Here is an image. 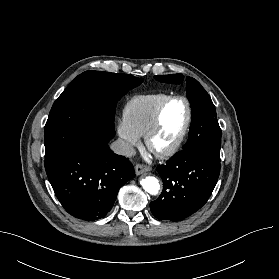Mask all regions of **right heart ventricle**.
<instances>
[{
  "mask_svg": "<svg viewBox=\"0 0 279 279\" xmlns=\"http://www.w3.org/2000/svg\"><path fill=\"white\" fill-rule=\"evenodd\" d=\"M169 94L151 93L132 97L124 109V118L140 136L145 135L150 127L157 109Z\"/></svg>",
  "mask_w": 279,
  "mask_h": 279,
  "instance_id": "obj_1",
  "label": "right heart ventricle"
}]
</instances>
